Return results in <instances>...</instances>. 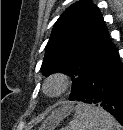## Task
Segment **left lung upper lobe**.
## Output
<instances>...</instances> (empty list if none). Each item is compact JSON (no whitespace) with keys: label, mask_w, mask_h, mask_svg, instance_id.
Wrapping results in <instances>:
<instances>
[{"label":"left lung upper lobe","mask_w":123,"mask_h":130,"mask_svg":"<svg viewBox=\"0 0 123 130\" xmlns=\"http://www.w3.org/2000/svg\"><path fill=\"white\" fill-rule=\"evenodd\" d=\"M112 44L98 7L91 0L77 1L54 24L41 71L44 76L55 72L71 76L69 99L74 101L93 65Z\"/></svg>","instance_id":"1"}]
</instances>
